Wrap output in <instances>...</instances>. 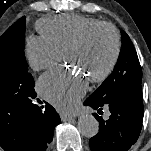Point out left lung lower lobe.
Returning a JSON list of instances; mask_svg holds the SVG:
<instances>
[{"instance_id": "0a47b994", "label": "left lung lower lobe", "mask_w": 151, "mask_h": 151, "mask_svg": "<svg viewBox=\"0 0 151 151\" xmlns=\"http://www.w3.org/2000/svg\"><path fill=\"white\" fill-rule=\"evenodd\" d=\"M102 112L101 105L89 97L84 102ZM111 112L106 121L101 116L93 115L99 121V133L92 137L89 145L92 151H127L137 141L143 121V102L141 83H132L111 102L105 104Z\"/></svg>"}]
</instances>
